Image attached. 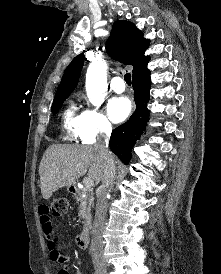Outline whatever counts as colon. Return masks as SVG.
<instances>
[{
  "label": "colon",
  "mask_w": 221,
  "mask_h": 274,
  "mask_svg": "<svg viewBox=\"0 0 221 274\" xmlns=\"http://www.w3.org/2000/svg\"><path fill=\"white\" fill-rule=\"evenodd\" d=\"M67 210V200L64 197L53 199L49 206V211L55 216L63 215Z\"/></svg>",
  "instance_id": "1"
}]
</instances>
